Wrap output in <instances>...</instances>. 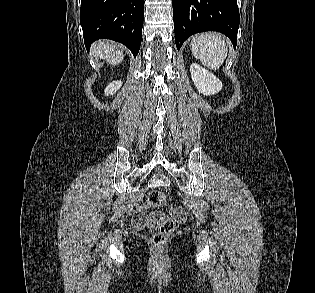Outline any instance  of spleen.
<instances>
[{
  "mask_svg": "<svg viewBox=\"0 0 315 293\" xmlns=\"http://www.w3.org/2000/svg\"><path fill=\"white\" fill-rule=\"evenodd\" d=\"M190 49L204 66L217 70L227 57L228 45L216 33H202L193 37Z\"/></svg>",
  "mask_w": 315,
  "mask_h": 293,
  "instance_id": "obj_1",
  "label": "spleen"
}]
</instances>
